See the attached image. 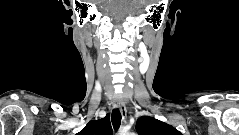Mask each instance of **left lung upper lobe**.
Segmentation results:
<instances>
[{
  "instance_id": "1",
  "label": "left lung upper lobe",
  "mask_w": 239,
  "mask_h": 135,
  "mask_svg": "<svg viewBox=\"0 0 239 135\" xmlns=\"http://www.w3.org/2000/svg\"><path fill=\"white\" fill-rule=\"evenodd\" d=\"M136 131L139 135H182L173 126L149 116L137 120Z\"/></svg>"
}]
</instances>
